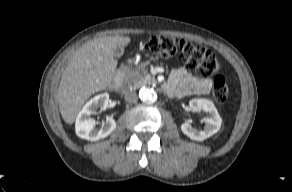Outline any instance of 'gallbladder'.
Wrapping results in <instances>:
<instances>
[{
	"mask_svg": "<svg viewBox=\"0 0 292 192\" xmlns=\"http://www.w3.org/2000/svg\"><path fill=\"white\" fill-rule=\"evenodd\" d=\"M123 53H124V49H123V47H120V46L116 47V48L113 50V55H114L115 57H121V56L123 55Z\"/></svg>",
	"mask_w": 292,
	"mask_h": 192,
	"instance_id": "gallbladder-1",
	"label": "gallbladder"
}]
</instances>
